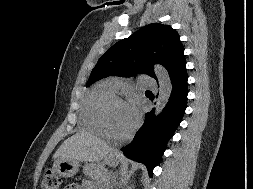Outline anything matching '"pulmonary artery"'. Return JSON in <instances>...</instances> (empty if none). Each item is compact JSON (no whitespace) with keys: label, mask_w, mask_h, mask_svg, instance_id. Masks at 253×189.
Wrapping results in <instances>:
<instances>
[{"label":"pulmonary artery","mask_w":253,"mask_h":189,"mask_svg":"<svg viewBox=\"0 0 253 189\" xmlns=\"http://www.w3.org/2000/svg\"><path fill=\"white\" fill-rule=\"evenodd\" d=\"M140 81L142 85H144L145 87H148V88L156 87V81L150 76L143 75L140 78ZM107 84L114 92H116L119 89V87L123 84V82L117 78H111L107 81Z\"/></svg>","instance_id":"1"}]
</instances>
